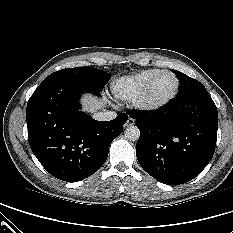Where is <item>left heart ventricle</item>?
I'll list each match as a JSON object with an SVG mask.
<instances>
[{
  "label": "left heart ventricle",
  "mask_w": 233,
  "mask_h": 233,
  "mask_svg": "<svg viewBox=\"0 0 233 233\" xmlns=\"http://www.w3.org/2000/svg\"><path fill=\"white\" fill-rule=\"evenodd\" d=\"M175 88V80L170 74L159 76L153 83L148 99L152 102H159L171 95Z\"/></svg>",
  "instance_id": "obj_1"
}]
</instances>
